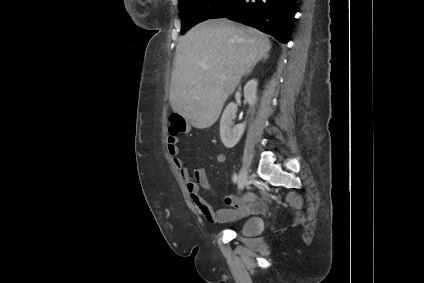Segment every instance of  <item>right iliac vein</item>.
I'll return each mask as SVG.
<instances>
[{
  "mask_svg": "<svg viewBox=\"0 0 424 283\" xmlns=\"http://www.w3.org/2000/svg\"><path fill=\"white\" fill-rule=\"evenodd\" d=\"M247 174V170L245 168H242L238 178V187L240 190H243L247 184Z\"/></svg>",
  "mask_w": 424,
  "mask_h": 283,
  "instance_id": "obj_1",
  "label": "right iliac vein"
}]
</instances>
